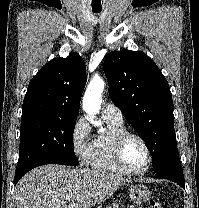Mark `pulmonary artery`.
Returning <instances> with one entry per match:
<instances>
[{
  "label": "pulmonary artery",
  "mask_w": 199,
  "mask_h": 208,
  "mask_svg": "<svg viewBox=\"0 0 199 208\" xmlns=\"http://www.w3.org/2000/svg\"><path fill=\"white\" fill-rule=\"evenodd\" d=\"M102 117L115 122H123L124 117L121 110L111 102H106L102 106Z\"/></svg>",
  "instance_id": "1"
}]
</instances>
